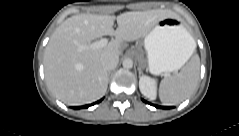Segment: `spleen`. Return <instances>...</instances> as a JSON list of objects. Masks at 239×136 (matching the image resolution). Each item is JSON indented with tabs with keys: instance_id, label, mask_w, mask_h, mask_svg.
Segmentation results:
<instances>
[{
	"instance_id": "obj_1",
	"label": "spleen",
	"mask_w": 239,
	"mask_h": 136,
	"mask_svg": "<svg viewBox=\"0 0 239 136\" xmlns=\"http://www.w3.org/2000/svg\"><path fill=\"white\" fill-rule=\"evenodd\" d=\"M195 47L196 44L192 38L191 55L193 54ZM199 74L200 60L197 56H194L179 73L173 76H166L160 82L159 98L161 102L164 105H176L185 100L196 89Z\"/></svg>"
}]
</instances>
